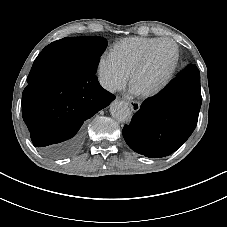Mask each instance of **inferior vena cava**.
Instances as JSON below:
<instances>
[{"mask_svg":"<svg viewBox=\"0 0 227 227\" xmlns=\"http://www.w3.org/2000/svg\"><path fill=\"white\" fill-rule=\"evenodd\" d=\"M99 82L101 84V86L106 89L107 91L114 93L117 91V89L115 88V86L105 77H100L99 78Z\"/></svg>","mask_w":227,"mask_h":227,"instance_id":"inferior-vena-cava-1","label":"inferior vena cava"}]
</instances>
